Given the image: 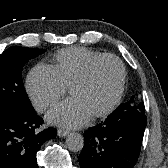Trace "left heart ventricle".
<instances>
[{
    "instance_id": "left-heart-ventricle-1",
    "label": "left heart ventricle",
    "mask_w": 168,
    "mask_h": 168,
    "mask_svg": "<svg viewBox=\"0 0 168 168\" xmlns=\"http://www.w3.org/2000/svg\"><path fill=\"white\" fill-rule=\"evenodd\" d=\"M119 77L120 71L115 61H101L86 82L70 88V94L80 97L93 114L112 101L118 88Z\"/></svg>"
}]
</instances>
